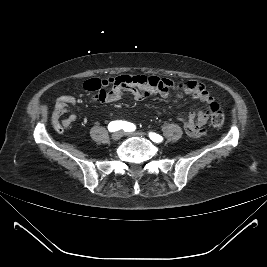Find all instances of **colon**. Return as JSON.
<instances>
[{
  "mask_svg": "<svg viewBox=\"0 0 267 267\" xmlns=\"http://www.w3.org/2000/svg\"><path fill=\"white\" fill-rule=\"evenodd\" d=\"M145 85L147 88L151 90H156L160 87L161 84L154 78L147 77L145 79ZM209 112H210L211 123L213 124V126L217 128L221 127L224 123V113L220 105L216 102L211 103L209 106ZM54 127L57 130H60L62 128L60 123L57 121L54 122Z\"/></svg>",
  "mask_w": 267,
  "mask_h": 267,
  "instance_id": "colon-1",
  "label": "colon"
}]
</instances>
